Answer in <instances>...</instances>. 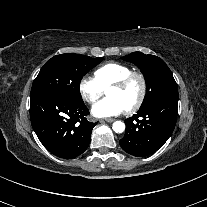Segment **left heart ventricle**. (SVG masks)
Here are the masks:
<instances>
[{
	"label": "left heart ventricle",
	"instance_id": "left-heart-ventricle-1",
	"mask_svg": "<svg viewBox=\"0 0 207 207\" xmlns=\"http://www.w3.org/2000/svg\"><path fill=\"white\" fill-rule=\"evenodd\" d=\"M140 94V83L138 80L132 81L125 89L110 88L107 96L118 99L127 109L138 98Z\"/></svg>",
	"mask_w": 207,
	"mask_h": 207
}]
</instances>
